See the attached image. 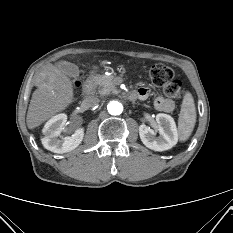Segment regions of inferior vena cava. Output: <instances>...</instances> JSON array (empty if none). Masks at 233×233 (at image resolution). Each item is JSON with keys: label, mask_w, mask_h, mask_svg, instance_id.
Returning a JSON list of instances; mask_svg holds the SVG:
<instances>
[{"label": "inferior vena cava", "mask_w": 233, "mask_h": 233, "mask_svg": "<svg viewBox=\"0 0 233 233\" xmlns=\"http://www.w3.org/2000/svg\"><path fill=\"white\" fill-rule=\"evenodd\" d=\"M83 102L87 107H94L99 104L100 99L97 96L89 95L84 99Z\"/></svg>", "instance_id": "inferior-vena-cava-1"}]
</instances>
